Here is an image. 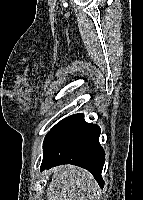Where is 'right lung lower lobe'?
<instances>
[{
    "mask_svg": "<svg viewBox=\"0 0 143 200\" xmlns=\"http://www.w3.org/2000/svg\"><path fill=\"white\" fill-rule=\"evenodd\" d=\"M100 128L75 114L56 124L46 135L41 171L61 164H73L90 171L99 185L105 152L99 144Z\"/></svg>",
    "mask_w": 143,
    "mask_h": 200,
    "instance_id": "right-lung-lower-lobe-1",
    "label": "right lung lower lobe"
}]
</instances>
